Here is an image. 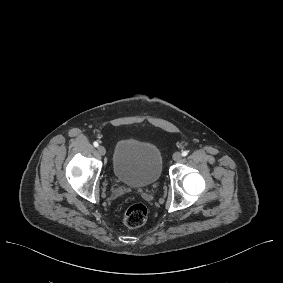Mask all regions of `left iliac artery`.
Returning a JSON list of instances; mask_svg holds the SVG:
<instances>
[{"label": "left iliac artery", "mask_w": 283, "mask_h": 283, "mask_svg": "<svg viewBox=\"0 0 283 283\" xmlns=\"http://www.w3.org/2000/svg\"><path fill=\"white\" fill-rule=\"evenodd\" d=\"M187 155H188V151L185 150V151L182 152V156L185 157V156H187Z\"/></svg>", "instance_id": "1"}]
</instances>
